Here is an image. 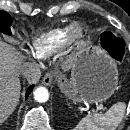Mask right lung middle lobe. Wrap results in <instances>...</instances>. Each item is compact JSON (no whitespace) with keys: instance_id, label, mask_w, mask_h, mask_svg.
Instances as JSON below:
<instances>
[{"instance_id":"right-lung-middle-lobe-1","label":"right lung middle lobe","mask_w":130,"mask_h":130,"mask_svg":"<svg viewBox=\"0 0 130 130\" xmlns=\"http://www.w3.org/2000/svg\"><path fill=\"white\" fill-rule=\"evenodd\" d=\"M12 24V19L10 15L2 10H0V32L11 35L10 26Z\"/></svg>"}]
</instances>
